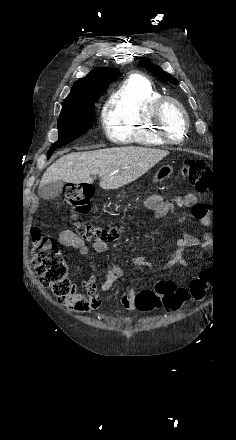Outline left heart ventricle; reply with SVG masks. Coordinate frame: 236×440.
I'll list each match as a JSON object with an SVG mask.
<instances>
[{
	"label": "left heart ventricle",
	"mask_w": 236,
	"mask_h": 440,
	"mask_svg": "<svg viewBox=\"0 0 236 440\" xmlns=\"http://www.w3.org/2000/svg\"><path fill=\"white\" fill-rule=\"evenodd\" d=\"M165 126L172 137L179 139L183 132V117L174 105H168L164 111Z\"/></svg>",
	"instance_id": "obj_1"
}]
</instances>
